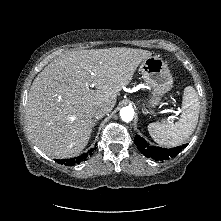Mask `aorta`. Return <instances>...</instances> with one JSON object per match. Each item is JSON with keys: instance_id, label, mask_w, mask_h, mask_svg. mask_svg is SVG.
<instances>
[{"instance_id": "1", "label": "aorta", "mask_w": 221, "mask_h": 221, "mask_svg": "<svg viewBox=\"0 0 221 221\" xmlns=\"http://www.w3.org/2000/svg\"><path fill=\"white\" fill-rule=\"evenodd\" d=\"M120 117L124 122H130L134 117V110L130 107H124L120 110Z\"/></svg>"}]
</instances>
